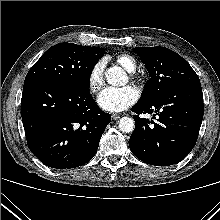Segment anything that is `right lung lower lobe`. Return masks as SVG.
<instances>
[{"label":"right lung lower lobe","instance_id":"1","mask_svg":"<svg viewBox=\"0 0 220 220\" xmlns=\"http://www.w3.org/2000/svg\"><path fill=\"white\" fill-rule=\"evenodd\" d=\"M21 116L31 152L57 169L90 161L111 122V115L100 110L89 87L40 80L24 84Z\"/></svg>","mask_w":220,"mask_h":220}]
</instances>
